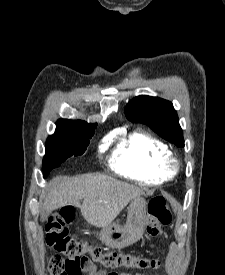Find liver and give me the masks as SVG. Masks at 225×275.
<instances>
[{"instance_id":"6515ba94","label":"liver","mask_w":225,"mask_h":275,"mask_svg":"<svg viewBox=\"0 0 225 275\" xmlns=\"http://www.w3.org/2000/svg\"><path fill=\"white\" fill-rule=\"evenodd\" d=\"M48 186L45 209L53 211L67 205L79 207L89 224L101 228L111 224L130 201L145 195L139 187L103 174L57 176Z\"/></svg>"}]
</instances>
